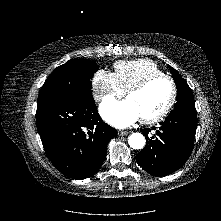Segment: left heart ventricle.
<instances>
[{
  "mask_svg": "<svg viewBox=\"0 0 221 221\" xmlns=\"http://www.w3.org/2000/svg\"><path fill=\"white\" fill-rule=\"evenodd\" d=\"M171 85L166 79H158L139 93L130 94V100L139 112L140 118L158 114L168 103Z\"/></svg>",
  "mask_w": 221,
  "mask_h": 221,
  "instance_id": "b2bd125f",
  "label": "left heart ventricle"
}]
</instances>
